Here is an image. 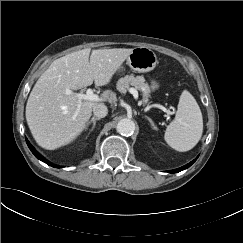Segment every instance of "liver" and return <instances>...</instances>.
Wrapping results in <instances>:
<instances>
[{
	"label": "liver",
	"instance_id": "liver-1",
	"mask_svg": "<svg viewBox=\"0 0 243 243\" xmlns=\"http://www.w3.org/2000/svg\"><path fill=\"white\" fill-rule=\"evenodd\" d=\"M132 51L113 48L91 52L87 48L53 61L37 80L26 105L27 124L37 144L54 150L76 139L85 129L93 107L101 101H111L112 92L104 91L96 102L79 101L66 91L79 90L93 82L96 86L109 84Z\"/></svg>",
	"mask_w": 243,
	"mask_h": 243
}]
</instances>
